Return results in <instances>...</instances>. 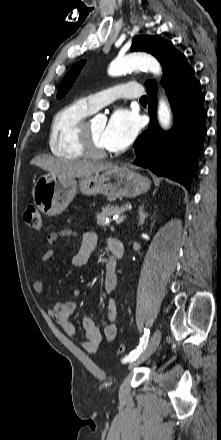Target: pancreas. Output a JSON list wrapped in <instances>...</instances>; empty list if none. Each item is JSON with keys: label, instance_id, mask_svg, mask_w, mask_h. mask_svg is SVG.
I'll return each mask as SVG.
<instances>
[{"label": "pancreas", "instance_id": "1", "mask_svg": "<svg viewBox=\"0 0 221 440\" xmlns=\"http://www.w3.org/2000/svg\"><path fill=\"white\" fill-rule=\"evenodd\" d=\"M127 209H128L127 205L120 206V207L118 205H115V206L107 205L102 208L101 212H98L96 214L97 224L101 227H106V226H108V223H106L105 221L108 217H110L114 214L120 215Z\"/></svg>", "mask_w": 221, "mask_h": 440}]
</instances>
